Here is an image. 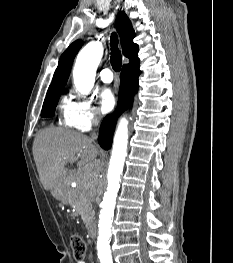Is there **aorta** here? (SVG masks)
<instances>
[{
	"label": "aorta",
	"mask_w": 233,
	"mask_h": 263,
	"mask_svg": "<svg viewBox=\"0 0 233 263\" xmlns=\"http://www.w3.org/2000/svg\"><path fill=\"white\" fill-rule=\"evenodd\" d=\"M103 55L100 42L88 43L78 54L73 70L77 90L87 95L95 81V72ZM128 142V121L122 118L116 130L108 169V182L102 188V209L99 216L97 250L101 260L111 259L110 236L117 193L120 188Z\"/></svg>",
	"instance_id": "obj_1"
}]
</instances>
